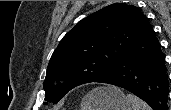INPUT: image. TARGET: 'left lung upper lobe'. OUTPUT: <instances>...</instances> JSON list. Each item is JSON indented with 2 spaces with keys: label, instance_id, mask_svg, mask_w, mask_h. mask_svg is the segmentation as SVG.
Returning a JSON list of instances; mask_svg holds the SVG:
<instances>
[{
  "label": "left lung upper lobe",
  "instance_id": "1",
  "mask_svg": "<svg viewBox=\"0 0 171 110\" xmlns=\"http://www.w3.org/2000/svg\"><path fill=\"white\" fill-rule=\"evenodd\" d=\"M149 27L140 9L125 3L111 4L81 20L51 56L45 100L57 103L72 88L95 82L117 65ZM57 77L66 79L60 87L52 86Z\"/></svg>",
  "mask_w": 171,
  "mask_h": 110
}]
</instances>
